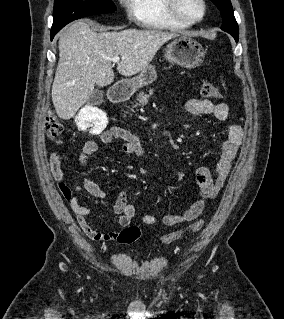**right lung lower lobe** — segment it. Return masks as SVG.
Segmentation results:
<instances>
[{
    "label": "right lung lower lobe",
    "instance_id": "right-lung-lower-lobe-1",
    "mask_svg": "<svg viewBox=\"0 0 284 319\" xmlns=\"http://www.w3.org/2000/svg\"><path fill=\"white\" fill-rule=\"evenodd\" d=\"M56 31H51V39H53L54 35L56 34Z\"/></svg>",
    "mask_w": 284,
    "mask_h": 319
}]
</instances>
